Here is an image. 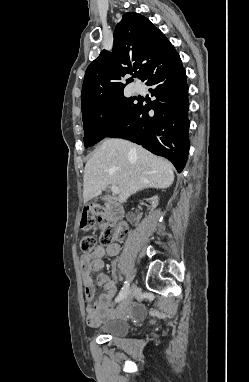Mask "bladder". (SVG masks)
<instances>
[{"instance_id":"bladder-1","label":"bladder","mask_w":249,"mask_h":382,"mask_svg":"<svg viewBox=\"0 0 249 382\" xmlns=\"http://www.w3.org/2000/svg\"><path fill=\"white\" fill-rule=\"evenodd\" d=\"M130 330V324L123 319L113 320L101 326L104 335L111 337H125Z\"/></svg>"}]
</instances>
